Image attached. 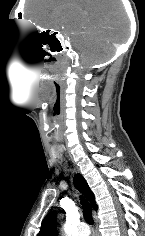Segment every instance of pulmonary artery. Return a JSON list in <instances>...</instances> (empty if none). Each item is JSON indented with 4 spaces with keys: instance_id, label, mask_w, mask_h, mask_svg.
<instances>
[{
    "instance_id": "obj_1",
    "label": "pulmonary artery",
    "mask_w": 145,
    "mask_h": 236,
    "mask_svg": "<svg viewBox=\"0 0 145 236\" xmlns=\"http://www.w3.org/2000/svg\"><path fill=\"white\" fill-rule=\"evenodd\" d=\"M77 232L78 236H89L90 228L85 222H83L79 225Z\"/></svg>"
}]
</instances>
